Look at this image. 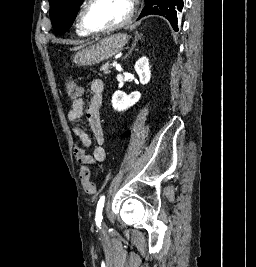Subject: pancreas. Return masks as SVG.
I'll return each mask as SVG.
<instances>
[{"label":"pancreas","instance_id":"cf45deb5","mask_svg":"<svg viewBox=\"0 0 256 267\" xmlns=\"http://www.w3.org/2000/svg\"><path fill=\"white\" fill-rule=\"evenodd\" d=\"M101 70L103 74H110L109 64H105V66H102Z\"/></svg>","mask_w":256,"mask_h":267}]
</instances>
